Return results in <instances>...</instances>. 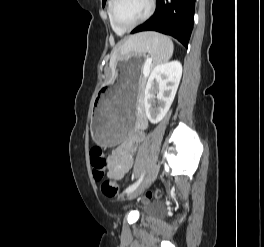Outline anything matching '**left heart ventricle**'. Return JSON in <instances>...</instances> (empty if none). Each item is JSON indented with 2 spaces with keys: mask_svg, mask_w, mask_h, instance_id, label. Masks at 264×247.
I'll list each match as a JSON object with an SVG mask.
<instances>
[{
  "mask_svg": "<svg viewBox=\"0 0 264 247\" xmlns=\"http://www.w3.org/2000/svg\"><path fill=\"white\" fill-rule=\"evenodd\" d=\"M148 6V0H119L116 18L121 25L133 24L146 14Z\"/></svg>",
  "mask_w": 264,
  "mask_h": 247,
  "instance_id": "obj_1",
  "label": "left heart ventricle"
}]
</instances>
